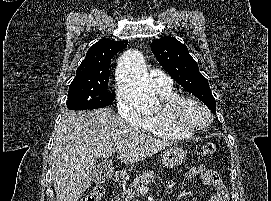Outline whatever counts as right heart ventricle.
I'll return each instance as SVG.
<instances>
[{
  "label": "right heart ventricle",
  "mask_w": 271,
  "mask_h": 201,
  "mask_svg": "<svg viewBox=\"0 0 271 201\" xmlns=\"http://www.w3.org/2000/svg\"><path fill=\"white\" fill-rule=\"evenodd\" d=\"M156 91L161 101L178 96L172 86L156 88ZM142 130L156 137L175 140L188 138L194 134L174 126L160 112L147 116V122Z\"/></svg>",
  "instance_id": "right-heart-ventricle-1"
}]
</instances>
